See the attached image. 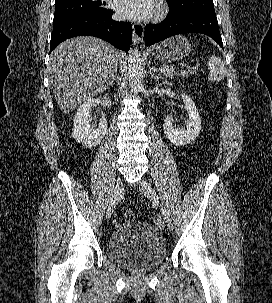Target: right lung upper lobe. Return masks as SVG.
Here are the masks:
<instances>
[{
	"label": "right lung upper lobe",
	"instance_id": "cb5924a9",
	"mask_svg": "<svg viewBox=\"0 0 272 303\" xmlns=\"http://www.w3.org/2000/svg\"><path fill=\"white\" fill-rule=\"evenodd\" d=\"M64 1V0H55V2Z\"/></svg>",
	"mask_w": 272,
	"mask_h": 303
}]
</instances>
